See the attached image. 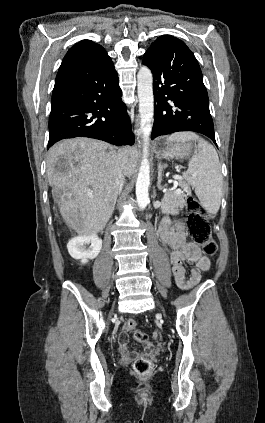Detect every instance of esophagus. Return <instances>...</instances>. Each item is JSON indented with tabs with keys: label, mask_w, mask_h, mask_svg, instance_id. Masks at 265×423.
I'll return each mask as SVG.
<instances>
[{
	"label": "esophagus",
	"mask_w": 265,
	"mask_h": 423,
	"mask_svg": "<svg viewBox=\"0 0 265 423\" xmlns=\"http://www.w3.org/2000/svg\"><path fill=\"white\" fill-rule=\"evenodd\" d=\"M139 124H140L139 118H138V116H136V119H135V135H136L137 139L141 138V129H140Z\"/></svg>",
	"instance_id": "esophagus-1"
}]
</instances>
